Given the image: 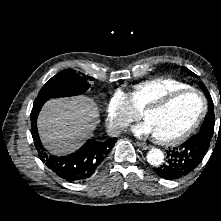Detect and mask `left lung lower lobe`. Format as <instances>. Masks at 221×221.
I'll return each mask as SVG.
<instances>
[{
  "label": "left lung lower lobe",
  "mask_w": 221,
  "mask_h": 221,
  "mask_svg": "<svg viewBox=\"0 0 221 221\" xmlns=\"http://www.w3.org/2000/svg\"><path fill=\"white\" fill-rule=\"evenodd\" d=\"M207 138L203 134H197L178 148L167 151L166 162L155 169L156 173L162 178L175 180L193 172L207 152Z\"/></svg>",
  "instance_id": "0a47b994"
}]
</instances>
